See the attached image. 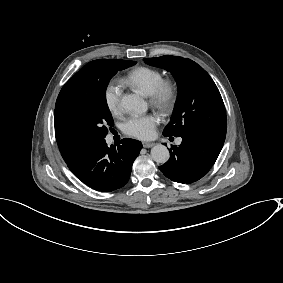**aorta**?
Segmentation results:
<instances>
[{"mask_svg": "<svg viewBox=\"0 0 283 283\" xmlns=\"http://www.w3.org/2000/svg\"><path fill=\"white\" fill-rule=\"evenodd\" d=\"M121 105L136 114H143L147 111V103L138 95L127 94L121 99ZM151 157L157 163H166L170 154L166 146L162 144L155 145L151 149Z\"/></svg>", "mask_w": 283, "mask_h": 283, "instance_id": "1", "label": "aorta"}]
</instances>
